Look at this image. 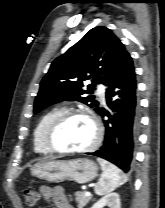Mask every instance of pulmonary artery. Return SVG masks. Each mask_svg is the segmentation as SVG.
I'll use <instances>...</instances> for the list:
<instances>
[{
	"label": "pulmonary artery",
	"mask_w": 165,
	"mask_h": 208,
	"mask_svg": "<svg viewBox=\"0 0 165 208\" xmlns=\"http://www.w3.org/2000/svg\"><path fill=\"white\" fill-rule=\"evenodd\" d=\"M97 94L99 95L101 101L105 102V89L103 86L98 87Z\"/></svg>",
	"instance_id": "e3ab8cb5"
}]
</instances>
